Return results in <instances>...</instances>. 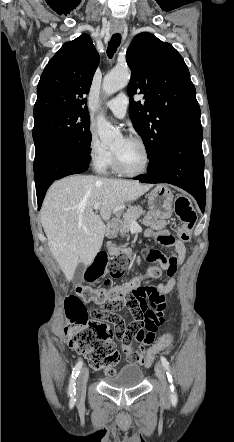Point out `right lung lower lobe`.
Instances as JSON below:
<instances>
[{"label":"right lung lower lobe","instance_id":"right-lung-lower-lobe-1","mask_svg":"<svg viewBox=\"0 0 234 442\" xmlns=\"http://www.w3.org/2000/svg\"><path fill=\"white\" fill-rule=\"evenodd\" d=\"M89 154L77 146L57 139L35 142L34 176L38 209L49 186L62 177L84 172L89 166Z\"/></svg>","mask_w":234,"mask_h":442}]
</instances>
